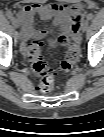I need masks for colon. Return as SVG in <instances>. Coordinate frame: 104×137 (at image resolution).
<instances>
[{
    "label": "colon",
    "instance_id": "obj_1",
    "mask_svg": "<svg viewBox=\"0 0 104 137\" xmlns=\"http://www.w3.org/2000/svg\"><path fill=\"white\" fill-rule=\"evenodd\" d=\"M58 41L67 48L65 58L61 62L60 68L65 72L70 71L79 59L80 51L78 43L75 40H70L65 35L59 36ZM26 54L29 66L40 76V91L44 93L50 92L54 88L57 74L47 67L41 53L40 44L38 42L29 43Z\"/></svg>",
    "mask_w": 104,
    "mask_h": 137
}]
</instances>
